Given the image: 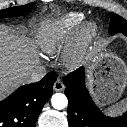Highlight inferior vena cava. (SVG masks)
<instances>
[{
  "mask_svg": "<svg viewBox=\"0 0 127 127\" xmlns=\"http://www.w3.org/2000/svg\"><path fill=\"white\" fill-rule=\"evenodd\" d=\"M46 75V69L44 66H36L34 67L30 73L28 82L35 83L40 81Z\"/></svg>",
  "mask_w": 127,
  "mask_h": 127,
  "instance_id": "602c4592",
  "label": "inferior vena cava"
}]
</instances>
